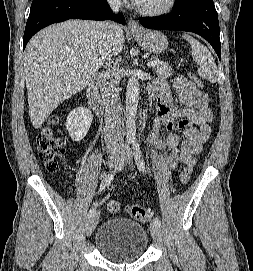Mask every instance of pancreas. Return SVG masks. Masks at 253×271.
<instances>
[{"instance_id":"1","label":"pancreas","mask_w":253,"mask_h":271,"mask_svg":"<svg viewBox=\"0 0 253 271\" xmlns=\"http://www.w3.org/2000/svg\"><path fill=\"white\" fill-rule=\"evenodd\" d=\"M151 61H159L160 62V64H158L154 67V70L159 77L169 78L170 76L174 75V71L171 68V66L168 65V63L160 61L157 57L151 58Z\"/></svg>"}]
</instances>
